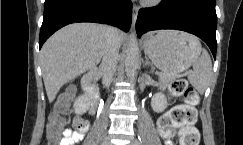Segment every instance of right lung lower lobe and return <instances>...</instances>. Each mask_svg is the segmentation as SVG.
Wrapping results in <instances>:
<instances>
[{
  "instance_id": "obj_1",
  "label": "right lung lower lobe",
  "mask_w": 243,
  "mask_h": 145,
  "mask_svg": "<svg viewBox=\"0 0 243 145\" xmlns=\"http://www.w3.org/2000/svg\"><path fill=\"white\" fill-rule=\"evenodd\" d=\"M131 20V0H46L39 48L55 31L70 23H106L127 32Z\"/></svg>"
}]
</instances>
